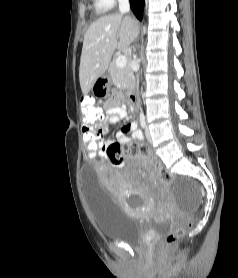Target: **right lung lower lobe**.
Here are the masks:
<instances>
[{
	"instance_id": "obj_1",
	"label": "right lung lower lobe",
	"mask_w": 238,
	"mask_h": 278,
	"mask_svg": "<svg viewBox=\"0 0 238 278\" xmlns=\"http://www.w3.org/2000/svg\"><path fill=\"white\" fill-rule=\"evenodd\" d=\"M130 6L135 14V16L142 20L143 18V9H144V0H130Z\"/></svg>"
}]
</instances>
